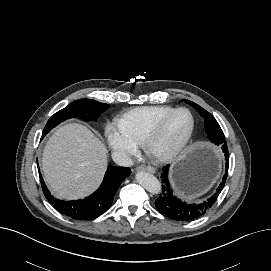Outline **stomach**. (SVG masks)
I'll list each match as a JSON object with an SVG mask.
<instances>
[{"instance_id": "1", "label": "stomach", "mask_w": 271, "mask_h": 271, "mask_svg": "<svg viewBox=\"0 0 271 271\" xmlns=\"http://www.w3.org/2000/svg\"><path fill=\"white\" fill-rule=\"evenodd\" d=\"M220 172V156L216 150L196 144L177 159L171 180L175 191L186 198H194L206 192Z\"/></svg>"}]
</instances>
